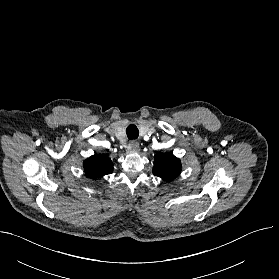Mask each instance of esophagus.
Listing matches in <instances>:
<instances>
[{
	"instance_id": "34e87169",
	"label": "esophagus",
	"mask_w": 279,
	"mask_h": 279,
	"mask_svg": "<svg viewBox=\"0 0 279 279\" xmlns=\"http://www.w3.org/2000/svg\"><path fill=\"white\" fill-rule=\"evenodd\" d=\"M130 149H132V150H134V151H137V150H139V147H140V145H139V142L138 141H136V140H132V141H130Z\"/></svg>"
}]
</instances>
